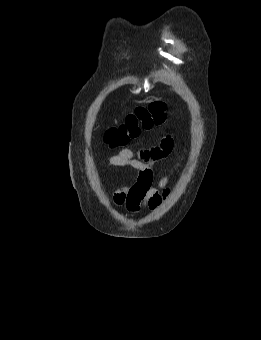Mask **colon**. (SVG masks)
Wrapping results in <instances>:
<instances>
[{
	"instance_id": "obj_1",
	"label": "colon",
	"mask_w": 261,
	"mask_h": 340,
	"mask_svg": "<svg viewBox=\"0 0 261 340\" xmlns=\"http://www.w3.org/2000/svg\"><path fill=\"white\" fill-rule=\"evenodd\" d=\"M167 118L166 104L154 102L146 107H139L128 114L125 120L109 128L104 135V141L112 148L127 144L136 138L142 130L151 129L164 123Z\"/></svg>"
}]
</instances>
